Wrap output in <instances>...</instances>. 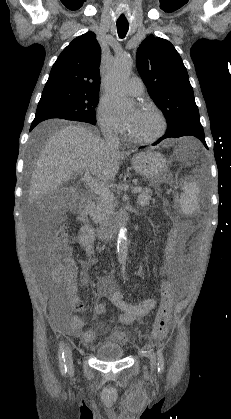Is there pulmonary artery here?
I'll return each mask as SVG.
<instances>
[{
  "mask_svg": "<svg viewBox=\"0 0 231 419\" xmlns=\"http://www.w3.org/2000/svg\"><path fill=\"white\" fill-rule=\"evenodd\" d=\"M127 90L133 96H140L144 91V84L139 77H132L127 83Z\"/></svg>",
  "mask_w": 231,
  "mask_h": 419,
  "instance_id": "1",
  "label": "pulmonary artery"
}]
</instances>
